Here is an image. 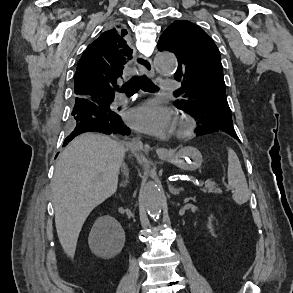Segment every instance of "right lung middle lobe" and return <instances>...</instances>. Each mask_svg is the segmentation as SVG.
Here are the masks:
<instances>
[{"mask_svg":"<svg viewBox=\"0 0 293 293\" xmlns=\"http://www.w3.org/2000/svg\"><path fill=\"white\" fill-rule=\"evenodd\" d=\"M98 100H100L101 102H103L102 104H99L101 108H105L104 110L106 109H110V100H107V99H102V98H96Z\"/></svg>","mask_w":293,"mask_h":293,"instance_id":"obj_1","label":"right lung middle lobe"}]
</instances>
